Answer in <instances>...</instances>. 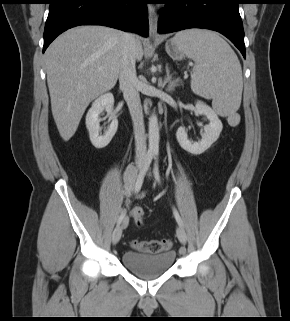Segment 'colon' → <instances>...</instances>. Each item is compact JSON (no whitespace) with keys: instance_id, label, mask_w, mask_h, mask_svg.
I'll return each mask as SVG.
<instances>
[{"instance_id":"1","label":"colon","mask_w":290,"mask_h":321,"mask_svg":"<svg viewBox=\"0 0 290 321\" xmlns=\"http://www.w3.org/2000/svg\"><path fill=\"white\" fill-rule=\"evenodd\" d=\"M132 217L136 225H141L144 219V210L136 207L132 210ZM133 247L144 253H161L171 249L172 243L169 239L147 240V241H134Z\"/></svg>"}]
</instances>
